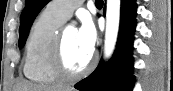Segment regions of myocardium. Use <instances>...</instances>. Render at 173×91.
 <instances>
[{"label": "myocardium", "mask_w": 173, "mask_h": 91, "mask_svg": "<svg viewBox=\"0 0 173 91\" xmlns=\"http://www.w3.org/2000/svg\"><path fill=\"white\" fill-rule=\"evenodd\" d=\"M67 28L59 29L51 47L49 65L52 72L61 80H77L87 75L96 63V54L93 53L87 65L80 71L74 72L66 64L64 56V37Z\"/></svg>", "instance_id": "f54148a6"}]
</instances>
